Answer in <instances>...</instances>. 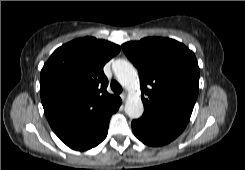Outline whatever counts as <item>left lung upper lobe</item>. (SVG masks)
I'll list each match as a JSON object with an SVG mask.
<instances>
[{"label": "left lung upper lobe", "instance_id": "5c2ea615", "mask_svg": "<svg viewBox=\"0 0 245 170\" xmlns=\"http://www.w3.org/2000/svg\"><path fill=\"white\" fill-rule=\"evenodd\" d=\"M137 67L145 109L189 121L199 91V67L182 43L148 37L122 45Z\"/></svg>", "mask_w": 245, "mask_h": 170}]
</instances>
